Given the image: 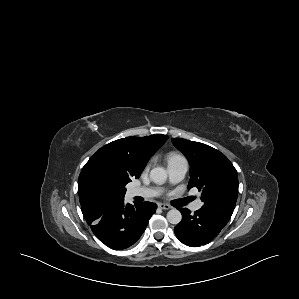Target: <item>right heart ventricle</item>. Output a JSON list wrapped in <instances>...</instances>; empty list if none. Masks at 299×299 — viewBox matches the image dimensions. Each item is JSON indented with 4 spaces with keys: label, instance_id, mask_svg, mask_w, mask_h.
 <instances>
[{
    "label": "right heart ventricle",
    "instance_id": "1",
    "mask_svg": "<svg viewBox=\"0 0 299 299\" xmlns=\"http://www.w3.org/2000/svg\"><path fill=\"white\" fill-rule=\"evenodd\" d=\"M180 160H185L184 157L182 155H180L177 152H170L167 155V162L168 164L171 162H175V161H180Z\"/></svg>",
    "mask_w": 299,
    "mask_h": 299
}]
</instances>
